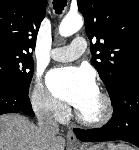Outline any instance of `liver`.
Masks as SVG:
<instances>
[{"mask_svg":"<svg viewBox=\"0 0 139 150\" xmlns=\"http://www.w3.org/2000/svg\"><path fill=\"white\" fill-rule=\"evenodd\" d=\"M60 136L45 137L39 128L19 114L0 116V150H64Z\"/></svg>","mask_w":139,"mask_h":150,"instance_id":"6515ba94","label":"liver"}]
</instances>
